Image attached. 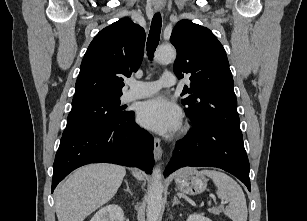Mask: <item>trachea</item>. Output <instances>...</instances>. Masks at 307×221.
Wrapping results in <instances>:
<instances>
[{"label":"trachea","mask_w":307,"mask_h":221,"mask_svg":"<svg viewBox=\"0 0 307 221\" xmlns=\"http://www.w3.org/2000/svg\"><path fill=\"white\" fill-rule=\"evenodd\" d=\"M162 26V18L160 13L153 16L150 32L147 39V55L150 60L153 59L154 52L158 46Z\"/></svg>","instance_id":"3493384b"}]
</instances>
